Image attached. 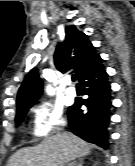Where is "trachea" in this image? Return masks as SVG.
Instances as JSON below:
<instances>
[{
	"mask_svg": "<svg viewBox=\"0 0 135 166\" xmlns=\"http://www.w3.org/2000/svg\"><path fill=\"white\" fill-rule=\"evenodd\" d=\"M76 79H77V76H76V75H73V76H72V81L75 82Z\"/></svg>",
	"mask_w": 135,
	"mask_h": 166,
	"instance_id": "trachea-1",
	"label": "trachea"
}]
</instances>
